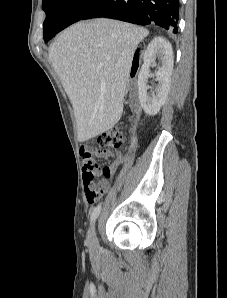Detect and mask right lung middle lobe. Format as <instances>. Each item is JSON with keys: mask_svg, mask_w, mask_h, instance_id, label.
<instances>
[{"mask_svg": "<svg viewBox=\"0 0 227 298\" xmlns=\"http://www.w3.org/2000/svg\"><path fill=\"white\" fill-rule=\"evenodd\" d=\"M101 0H43L46 13L43 38L46 42L56 33L81 20Z\"/></svg>", "mask_w": 227, "mask_h": 298, "instance_id": "right-lung-middle-lobe-1", "label": "right lung middle lobe"}]
</instances>
